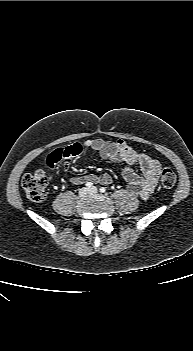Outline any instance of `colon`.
Wrapping results in <instances>:
<instances>
[{
  "label": "colon",
  "mask_w": 193,
  "mask_h": 351,
  "mask_svg": "<svg viewBox=\"0 0 193 351\" xmlns=\"http://www.w3.org/2000/svg\"><path fill=\"white\" fill-rule=\"evenodd\" d=\"M176 174L170 168H165L161 172L160 183L165 188H171L176 184ZM22 187L26 194L35 201H41L46 197L48 179L41 170L27 173L22 177Z\"/></svg>",
  "instance_id": "5ec220e1"
}]
</instances>
